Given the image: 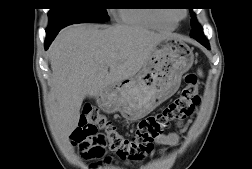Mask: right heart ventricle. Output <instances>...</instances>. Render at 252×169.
<instances>
[{"label":"right heart ventricle","instance_id":"1","mask_svg":"<svg viewBox=\"0 0 252 169\" xmlns=\"http://www.w3.org/2000/svg\"><path fill=\"white\" fill-rule=\"evenodd\" d=\"M117 15L124 23L144 28L171 31L177 26V23L172 18L160 12L119 9Z\"/></svg>","mask_w":252,"mask_h":169}]
</instances>
